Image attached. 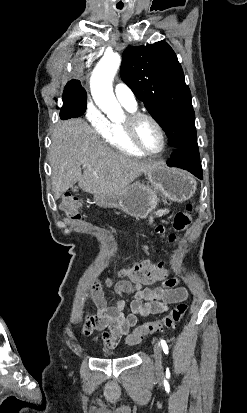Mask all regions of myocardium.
Wrapping results in <instances>:
<instances>
[{"mask_svg": "<svg viewBox=\"0 0 247 413\" xmlns=\"http://www.w3.org/2000/svg\"><path fill=\"white\" fill-rule=\"evenodd\" d=\"M143 120L148 121L155 128H157L162 136L163 144H162V147L158 151L147 150L139 141L137 129H138V125ZM126 131H127L128 138L130 142L132 143V145L146 156L159 158V157H162L167 150V147H168L167 133L164 130V128L161 126V124L149 114L134 113L127 122Z\"/></svg>", "mask_w": 247, "mask_h": 413, "instance_id": "1", "label": "myocardium"}]
</instances>
